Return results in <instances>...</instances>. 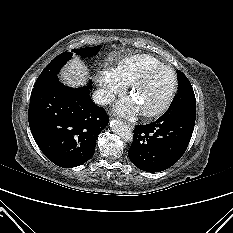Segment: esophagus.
Segmentation results:
<instances>
[{
	"instance_id": "1",
	"label": "esophagus",
	"mask_w": 233,
	"mask_h": 233,
	"mask_svg": "<svg viewBox=\"0 0 233 233\" xmlns=\"http://www.w3.org/2000/svg\"><path fill=\"white\" fill-rule=\"evenodd\" d=\"M126 124H127V126L130 127V128H133V127H134V125H133L132 123L127 122Z\"/></svg>"
}]
</instances>
